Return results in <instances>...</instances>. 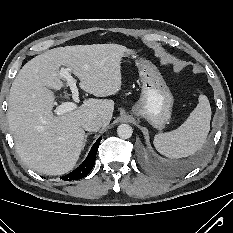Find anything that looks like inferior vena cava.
Segmentation results:
<instances>
[{
  "label": "inferior vena cava",
  "instance_id": "1",
  "mask_svg": "<svg viewBox=\"0 0 233 233\" xmlns=\"http://www.w3.org/2000/svg\"><path fill=\"white\" fill-rule=\"evenodd\" d=\"M102 125V120L93 114L85 116L81 121L82 128L91 132L98 131Z\"/></svg>",
  "mask_w": 233,
  "mask_h": 233
}]
</instances>
